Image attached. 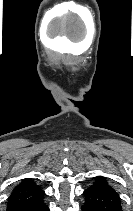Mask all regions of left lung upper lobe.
<instances>
[{
  "mask_svg": "<svg viewBox=\"0 0 133 211\" xmlns=\"http://www.w3.org/2000/svg\"><path fill=\"white\" fill-rule=\"evenodd\" d=\"M96 181L93 183L92 186H96V187H99V188H103V189H107V190H110V191H113V192H116L107 182L106 178L105 177H102V176H99V177H96Z\"/></svg>",
  "mask_w": 133,
  "mask_h": 211,
  "instance_id": "obj_1",
  "label": "left lung upper lobe"
}]
</instances>
